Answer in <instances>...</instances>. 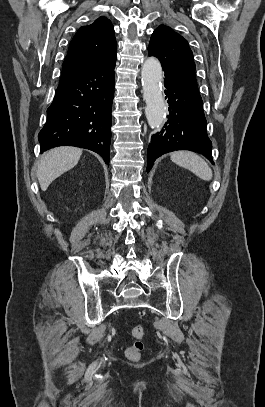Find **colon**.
I'll return each mask as SVG.
<instances>
[{"instance_id":"obj_1","label":"colon","mask_w":265,"mask_h":407,"mask_svg":"<svg viewBox=\"0 0 265 407\" xmlns=\"http://www.w3.org/2000/svg\"><path fill=\"white\" fill-rule=\"evenodd\" d=\"M131 334L134 341L126 348L125 355L130 360H138L144 350L145 327L142 324H137L132 328Z\"/></svg>"}]
</instances>
